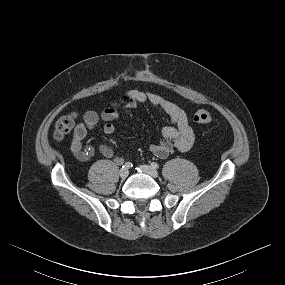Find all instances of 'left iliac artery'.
Masks as SVG:
<instances>
[{
	"instance_id": "44dca946",
	"label": "left iliac artery",
	"mask_w": 285,
	"mask_h": 285,
	"mask_svg": "<svg viewBox=\"0 0 285 285\" xmlns=\"http://www.w3.org/2000/svg\"><path fill=\"white\" fill-rule=\"evenodd\" d=\"M151 166H152L154 169H158V168H159V165H158V163H156V162H152V163H151Z\"/></svg>"
}]
</instances>
